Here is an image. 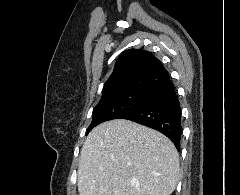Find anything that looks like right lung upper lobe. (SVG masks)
<instances>
[{
	"label": "right lung upper lobe",
	"instance_id": "1",
	"mask_svg": "<svg viewBox=\"0 0 240 195\" xmlns=\"http://www.w3.org/2000/svg\"><path fill=\"white\" fill-rule=\"evenodd\" d=\"M170 76L162 63L148 51L130 49L122 53L110 78L104 85L102 97L120 92H148Z\"/></svg>",
	"mask_w": 240,
	"mask_h": 195
}]
</instances>
